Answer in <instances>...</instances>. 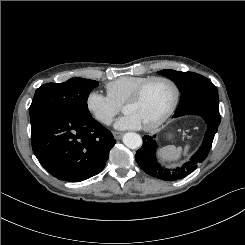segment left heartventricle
Instances as JSON below:
<instances>
[{
    "label": "left heart ventricle",
    "mask_w": 245,
    "mask_h": 245,
    "mask_svg": "<svg viewBox=\"0 0 245 245\" xmlns=\"http://www.w3.org/2000/svg\"><path fill=\"white\" fill-rule=\"evenodd\" d=\"M173 98L174 91L171 85L157 81L145 88L137 102L126 105L123 110L126 114L135 115L144 127L164 116L170 108Z\"/></svg>",
    "instance_id": "b2bd125f"
}]
</instances>
